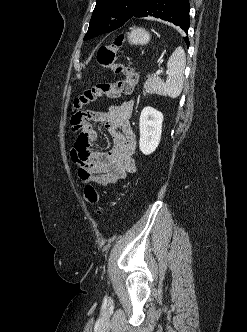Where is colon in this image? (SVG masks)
I'll return each instance as SVG.
<instances>
[{"mask_svg":"<svg viewBox=\"0 0 247 332\" xmlns=\"http://www.w3.org/2000/svg\"><path fill=\"white\" fill-rule=\"evenodd\" d=\"M122 37H118L114 44L101 46L97 51L98 63L107 68H111L121 77L116 81L100 82L93 87L86 89L81 95L74 99V109L76 110L72 124L75 129L82 121L83 113L80 111L84 105L95 102L100 98H116L121 94H129L133 91L138 74L131 66L116 63V50L121 45ZM84 199L88 204H96L99 201V194L92 185L84 188ZM97 213H101L97 210Z\"/></svg>","mask_w":247,"mask_h":332,"instance_id":"obj_1","label":"colon"}]
</instances>
